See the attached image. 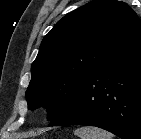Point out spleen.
Masks as SVG:
<instances>
[{"label":"spleen","instance_id":"1","mask_svg":"<svg viewBox=\"0 0 141 139\" xmlns=\"http://www.w3.org/2000/svg\"><path fill=\"white\" fill-rule=\"evenodd\" d=\"M74 133L80 139H113L110 132L93 126L81 127L75 130Z\"/></svg>","mask_w":141,"mask_h":139}]
</instances>
